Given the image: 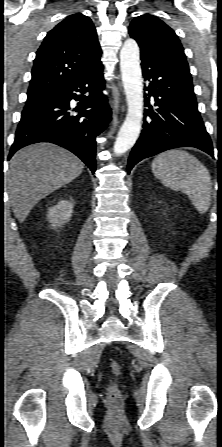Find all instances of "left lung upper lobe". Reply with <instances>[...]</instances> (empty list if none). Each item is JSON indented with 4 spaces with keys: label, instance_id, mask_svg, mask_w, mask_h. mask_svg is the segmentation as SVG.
Wrapping results in <instances>:
<instances>
[{
    "label": "left lung upper lobe",
    "instance_id": "5c2ea615",
    "mask_svg": "<svg viewBox=\"0 0 222 447\" xmlns=\"http://www.w3.org/2000/svg\"><path fill=\"white\" fill-rule=\"evenodd\" d=\"M129 34L141 49L158 55L191 77L184 49L175 34L163 21L153 15H141L130 24Z\"/></svg>",
    "mask_w": 222,
    "mask_h": 447
}]
</instances>
